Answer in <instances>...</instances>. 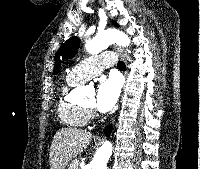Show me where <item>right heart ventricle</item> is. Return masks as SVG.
Segmentation results:
<instances>
[{
    "mask_svg": "<svg viewBox=\"0 0 200 169\" xmlns=\"http://www.w3.org/2000/svg\"><path fill=\"white\" fill-rule=\"evenodd\" d=\"M78 83L66 78V82L61 85L59 99L57 103V112L61 121L73 128L84 127L90 120V113L84 107L72 103L68 99V92L71 87Z\"/></svg>",
    "mask_w": 200,
    "mask_h": 169,
    "instance_id": "obj_1",
    "label": "right heart ventricle"
}]
</instances>
